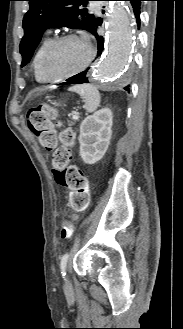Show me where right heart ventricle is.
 <instances>
[{
	"instance_id": "1",
	"label": "right heart ventricle",
	"mask_w": 183,
	"mask_h": 329,
	"mask_svg": "<svg viewBox=\"0 0 183 329\" xmlns=\"http://www.w3.org/2000/svg\"><path fill=\"white\" fill-rule=\"evenodd\" d=\"M52 38L49 36H46L36 49L33 59H32V68L34 72L35 79L40 83H47L49 80L46 78L45 74L42 70V57L43 54L48 47V45L51 43Z\"/></svg>"
}]
</instances>
